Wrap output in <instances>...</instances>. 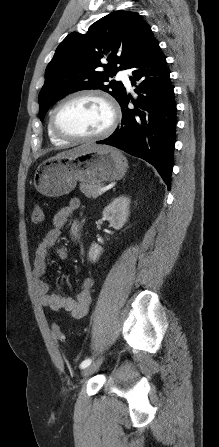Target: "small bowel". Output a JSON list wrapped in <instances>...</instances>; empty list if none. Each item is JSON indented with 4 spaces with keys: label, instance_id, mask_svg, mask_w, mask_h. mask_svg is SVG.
Returning a JSON list of instances; mask_svg holds the SVG:
<instances>
[{
    "label": "small bowel",
    "instance_id": "1",
    "mask_svg": "<svg viewBox=\"0 0 219 447\" xmlns=\"http://www.w3.org/2000/svg\"><path fill=\"white\" fill-rule=\"evenodd\" d=\"M81 201L79 198H71L68 205L59 209L53 217L54 227L49 230L40 240L34 257L33 288L40 304L53 311L64 310L74 319H81L86 316L90 301L91 290L93 288V278L85 277L74 297L64 296L58 292H51L49 284L43 280L47 273L46 259L50 249L54 250L57 258L66 260L69 257V249L65 245H58L57 240L62 229L69 220L71 214L79 209ZM78 227H76V230Z\"/></svg>",
    "mask_w": 219,
    "mask_h": 447
}]
</instances>
